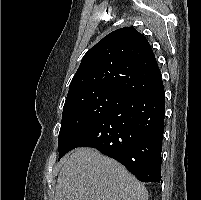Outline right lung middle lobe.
I'll return each instance as SVG.
<instances>
[{"label":"right lung middle lobe","instance_id":"obj_1","mask_svg":"<svg viewBox=\"0 0 201 200\" xmlns=\"http://www.w3.org/2000/svg\"><path fill=\"white\" fill-rule=\"evenodd\" d=\"M129 97L109 90L86 91L66 98L58 138L59 159L67 144L83 129Z\"/></svg>","mask_w":201,"mask_h":200}]
</instances>
